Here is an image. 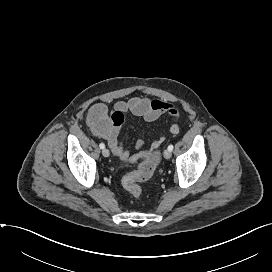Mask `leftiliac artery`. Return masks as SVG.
<instances>
[{
	"label": "left iliac artery",
	"mask_w": 272,
	"mask_h": 272,
	"mask_svg": "<svg viewBox=\"0 0 272 272\" xmlns=\"http://www.w3.org/2000/svg\"><path fill=\"white\" fill-rule=\"evenodd\" d=\"M168 150H170V151L173 150V145H172V144H170V145L168 146Z\"/></svg>",
	"instance_id": "obj_1"
}]
</instances>
